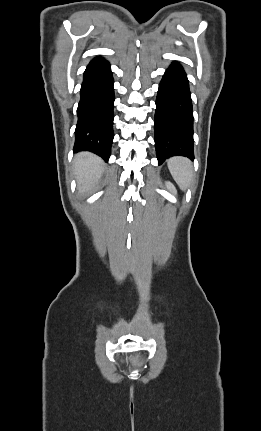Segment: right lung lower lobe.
<instances>
[{
  "label": "right lung lower lobe",
  "mask_w": 261,
  "mask_h": 431,
  "mask_svg": "<svg viewBox=\"0 0 261 431\" xmlns=\"http://www.w3.org/2000/svg\"><path fill=\"white\" fill-rule=\"evenodd\" d=\"M114 80L110 64L96 57L83 77L74 150L90 151L108 160L113 142Z\"/></svg>",
  "instance_id": "1"
}]
</instances>
